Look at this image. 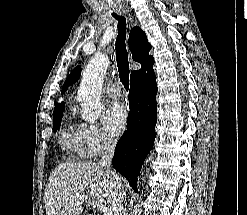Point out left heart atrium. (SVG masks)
Listing matches in <instances>:
<instances>
[{"label": "left heart atrium", "mask_w": 247, "mask_h": 215, "mask_svg": "<svg viewBox=\"0 0 247 215\" xmlns=\"http://www.w3.org/2000/svg\"><path fill=\"white\" fill-rule=\"evenodd\" d=\"M107 127L115 134L121 133L128 120L127 106L121 102L113 103L106 111L104 116Z\"/></svg>", "instance_id": "obj_1"}]
</instances>
